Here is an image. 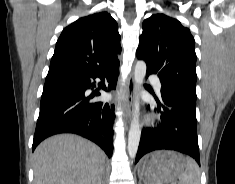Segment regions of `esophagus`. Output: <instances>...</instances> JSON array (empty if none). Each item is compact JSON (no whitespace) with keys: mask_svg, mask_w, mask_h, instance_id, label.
Listing matches in <instances>:
<instances>
[{"mask_svg":"<svg viewBox=\"0 0 235 184\" xmlns=\"http://www.w3.org/2000/svg\"><path fill=\"white\" fill-rule=\"evenodd\" d=\"M134 90H135V83H134V76H133V72H132L128 78V82L125 87L124 100H123V107H124V110L126 113V118H127L128 122L131 119V114H132V110H133Z\"/></svg>","mask_w":235,"mask_h":184,"instance_id":"34e87169","label":"esophagus"}]
</instances>
